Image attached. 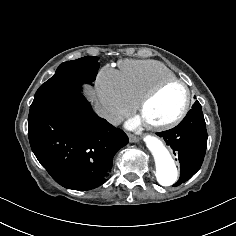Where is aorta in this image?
<instances>
[{
	"mask_svg": "<svg viewBox=\"0 0 236 236\" xmlns=\"http://www.w3.org/2000/svg\"><path fill=\"white\" fill-rule=\"evenodd\" d=\"M143 140L154 156L158 183L162 186L174 184L178 177V171L169 150L155 136L146 135Z\"/></svg>",
	"mask_w": 236,
	"mask_h": 236,
	"instance_id": "obj_1",
	"label": "aorta"
}]
</instances>
